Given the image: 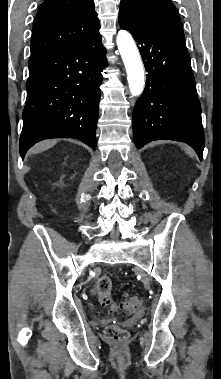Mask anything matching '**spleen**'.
I'll use <instances>...</instances> for the list:
<instances>
[{"mask_svg": "<svg viewBox=\"0 0 221 379\" xmlns=\"http://www.w3.org/2000/svg\"><path fill=\"white\" fill-rule=\"evenodd\" d=\"M185 150L187 151L188 154H190L191 156H193V154L191 153L190 149L189 148H185Z\"/></svg>", "mask_w": 221, "mask_h": 379, "instance_id": "obj_1", "label": "spleen"}]
</instances>
